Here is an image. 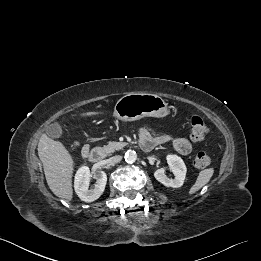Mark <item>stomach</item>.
<instances>
[{"mask_svg":"<svg viewBox=\"0 0 261 261\" xmlns=\"http://www.w3.org/2000/svg\"><path fill=\"white\" fill-rule=\"evenodd\" d=\"M168 104L158 95L128 93L121 97L114 108V115L122 121H135L143 117H165Z\"/></svg>","mask_w":261,"mask_h":261,"instance_id":"stomach-1","label":"stomach"}]
</instances>
